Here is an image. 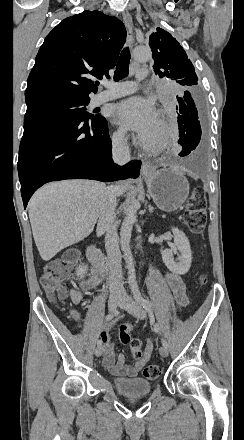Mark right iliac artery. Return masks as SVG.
<instances>
[{"label": "right iliac artery", "mask_w": 244, "mask_h": 440, "mask_svg": "<svg viewBox=\"0 0 244 440\" xmlns=\"http://www.w3.org/2000/svg\"><path fill=\"white\" fill-rule=\"evenodd\" d=\"M116 313H117V311H115V312H110L109 314L106 315L105 320H106V321H111V320L114 318V316L116 315ZM102 343H103V341H102L101 339H99V340L97 341V345H98V346H99V345H102Z\"/></svg>", "instance_id": "right-iliac-artery-1"}]
</instances>
